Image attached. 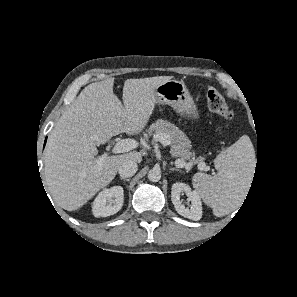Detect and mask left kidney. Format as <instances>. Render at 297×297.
<instances>
[{"instance_id":"left-kidney-1","label":"left kidney","mask_w":297,"mask_h":297,"mask_svg":"<svg viewBox=\"0 0 297 297\" xmlns=\"http://www.w3.org/2000/svg\"><path fill=\"white\" fill-rule=\"evenodd\" d=\"M185 193L188 200L191 202V207L186 208L180 199V195ZM171 200L175 210L188 219L198 221L202 217V202L197 191H192L190 186L185 183H175L171 189Z\"/></svg>"}]
</instances>
